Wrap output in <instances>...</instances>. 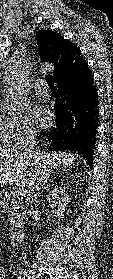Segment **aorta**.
Masks as SVG:
<instances>
[{
	"mask_svg": "<svg viewBox=\"0 0 113 279\" xmlns=\"http://www.w3.org/2000/svg\"><path fill=\"white\" fill-rule=\"evenodd\" d=\"M19 96L17 94H13L10 99H9V102H8V109L11 111V112H17L19 111Z\"/></svg>",
	"mask_w": 113,
	"mask_h": 279,
	"instance_id": "762f6f07",
	"label": "aorta"
}]
</instances>
